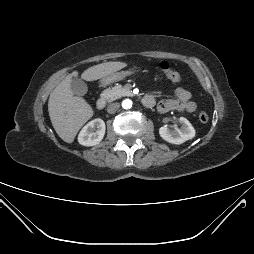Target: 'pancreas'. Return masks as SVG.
Instances as JSON below:
<instances>
[{"label":"pancreas","instance_id":"pancreas-1","mask_svg":"<svg viewBox=\"0 0 254 254\" xmlns=\"http://www.w3.org/2000/svg\"><path fill=\"white\" fill-rule=\"evenodd\" d=\"M132 93L128 88L122 87L121 85L114 86L112 88L105 89L101 97L105 98L108 102L114 101L122 96H131Z\"/></svg>","mask_w":254,"mask_h":254}]
</instances>
